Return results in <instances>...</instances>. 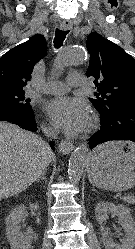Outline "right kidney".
I'll return each mask as SVG.
<instances>
[{
	"label": "right kidney",
	"instance_id": "1",
	"mask_svg": "<svg viewBox=\"0 0 135 249\" xmlns=\"http://www.w3.org/2000/svg\"><path fill=\"white\" fill-rule=\"evenodd\" d=\"M31 210H38L37 203H30ZM26 207L20 205L16 207L6 218V232L11 249H30L33 239V231L20 232V223L26 220Z\"/></svg>",
	"mask_w": 135,
	"mask_h": 249
}]
</instances>
